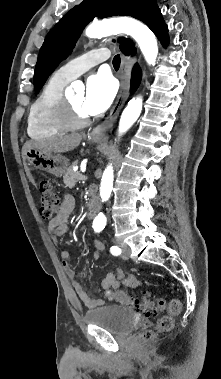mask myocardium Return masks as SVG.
Wrapping results in <instances>:
<instances>
[{
	"instance_id": "1",
	"label": "myocardium",
	"mask_w": 221,
	"mask_h": 379,
	"mask_svg": "<svg viewBox=\"0 0 221 379\" xmlns=\"http://www.w3.org/2000/svg\"><path fill=\"white\" fill-rule=\"evenodd\" d=\"M59 117L69 129L86 126L90 121L88 115L81 114L64 96L59 108Z\"/></svg>"
}]
</instances>
